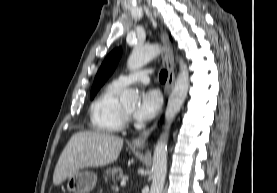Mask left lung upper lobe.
I'll use <instances>...</instances> for the list:
<instances>
[{
    "label": "left lung upper lobe",
    "mask_w": 277,
    "mask_h": 193,
    "mask_svg": "<svg viewBox=\"0 0 277 193\" xmlns=\"http://www.w3.org/2000/svg\"><path fill=\"white\" fill-rule=\"evenodd\" d=\"M121 53H122V51L120 48L115 49L104 60L103 64L101 65V67L95 77L94 84H93L91 94H90L91 99L95 96L97 91L105 83V81L108 79V77L113 73V71L116 68L117 63L121 57Z\"/></svg>",
    "instance_id": "5c2ea615"
}]
</instances>
